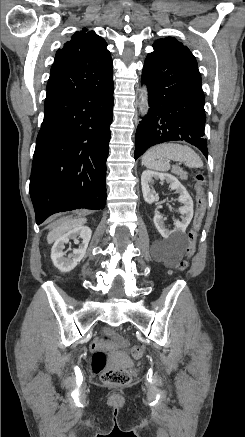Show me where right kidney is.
<instances>
[{"label":"right kidney","instance_id":"1","mask_svg":"<svg viewBox=\"0 0 245 437\" xmlns=\"http://www.w3.org/2000/svg\"><path fill=\"white\" fill-rule=\"evenodd\" d=\"M91 234L92 231L89 227L80 226L68 231L58 238L51 250V259L54 266L61 272H69L73 270L85 256L86 249L91 239ZM77 237L81 238V243ZM70 240H74L75 244H78L79 247L72 250L70 246L68 251L72 250L73 252L66 255L67 251L64 252L63 250L65 249V244H70Z\"/></svg>","mask_w":245,"mask_h":437}]
</instances>
